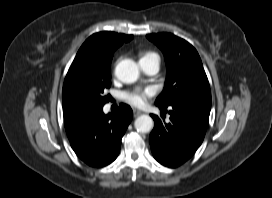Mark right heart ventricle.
<instances>
[{
    "mask_svg": "<svg viewBox=\"0 0 272 198\" xmlns=\"http://www.w3.org/2000/svg\"><path fill=\"white\" fill-rule=\"evenodd\" d=\"M151 57H158L157 54L153 51H144L140 53V60L147 59Z\"/></svg>",
    "mask_w": 272,
    "mask_h": 198,
    "instance_id": "1",
    "label": "right heart ventricle"
}]
</instances>
